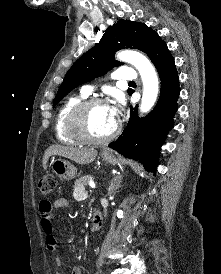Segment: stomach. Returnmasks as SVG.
I'll return each mask as SVG.
<instances>
[{"label": "stomach", "instance_id": "1", "mask_svg": "<svg viewBox=\"0 0 221 274\" xmlns=\"http://www.w3.org/2000/svg\"><path fill=\"white\" fill-rule=\"evenodd\" d=\"M101 157L103 161L107 163H117L116 157L110 152L103 151ZM50 166L52 171L62 180H72L77 175L76 167L67 160L61 158H53Z\"/></svg>", "mask_w": 221, "mask_h": 274}]
</instances>
